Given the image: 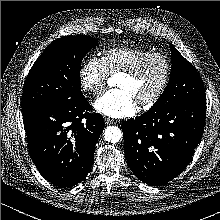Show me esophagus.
I'll list each match as a JSON object with an SVG mask.
<instances>
[{
  "instance_id": "esophagus-1",
  "label": "esophagus",
  "mask_w": 220,
  "mask_h": 220,
  "mask_svg": "<svg viewBox=\"0 0 220 220\" xmlns=\"http://www.w3.org/2000/svg\"><path fill=\"white\" fill-rule=\"evenodd\" d=\"M104 121H105V124H107V125L113 124L115 122L113 119H110L108 117H105Z\"/></svg>"
}]
</instances>
